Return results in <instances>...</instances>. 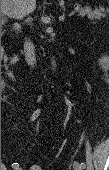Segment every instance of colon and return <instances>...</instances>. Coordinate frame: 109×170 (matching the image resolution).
<instances>
[{
	"label": "colon",
	"instance_id": "obj_1",
	"mask_svg": "<svg viewBox=\"0 0 109 170\" xmlns=\"http://www.w3.org/2000/svg\"><path fill=\"white\" fill-rule=\"evenodd\" d=\"M29 170H43V168L40 165L34 164L29 167Z\"/></svg>",
	"mask_w": 109,
	"mask_h": 170
}]
</instances>
